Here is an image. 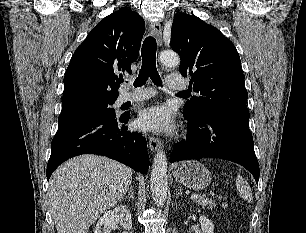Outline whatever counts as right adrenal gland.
Segmentation results:
<instances>
[{"label":"right adrenal gland","mask_w":306,"mask_h":233,"mask_svg":"<svg viewBox=\"0 0 306 233\" xmlns=\"http://www.w3.org/2000/svg\"><path fill=\"white\" fill-rule=\"evenodd\" d=\"M126 198L131 199L132 201H134V189L133 186H130L128 189V195L126 196Z\"/></svg>","instance_id":"right-adrenal-gland-1"}]
</instances>
